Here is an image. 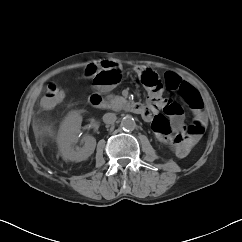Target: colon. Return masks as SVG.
Masks as SVG:
<instances>
[{
	"mask_svg": "<svg viewBox=\"0 0 242 242\" xmlns=\"http://www.w3.org/2000/svg\"><path fill=\"white\" fill-rule=\"evenodd\" d=\"M84 76L91 78L94 84L99 87H106L116 84L121 79V72L115 68H106L98 63L88 64L83 72ZM143 85L152 93L158 92L161 89V82L157 74L154 72L145 73L142 78ZM168 88L177 90L181 98L194 110L202 108V102L198 91L189 83L182 82L173 75L166 77ZM65 97V90L58 85L51 83L46 87L42 98V105L46 108H51L60 103ZM153 130L161 135L167 136L170 133L168 119L163 114H157L153 118ZM202 130L199 129V132Z\"/></svg>",
	"mask_w": 242,
	"mask_h": 242,
	"instance_id": "5ec220e1",
	"label": "colon"
}]
</instances>
